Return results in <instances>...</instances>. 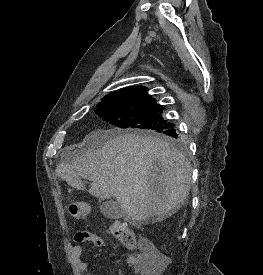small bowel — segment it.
Returning <instances> with one entry per match:
<instances>
[{
    "label": "small bowel",
    "mask_w": 263,
    "mask_h": 275,
    "mask_svg": "<svg viewBox=\"0 0 263 275\" xmlns=\"http://www.w3.org/2000/svg\"><path fill=\"white\" fill-rule=\"evenodd\" d=\"M75 245L72 247V258L77 268L85 275H94L90 272L88 263L82 260L83 248L81 243L90 242L95 247H103L105 245L104 239L97 234L89 231L79 230L74 236ZM127 263L134 268L135 273L142 275V264L134 255L127 258Z\"/></svg>",
    "instance_id": "c3829d8e"
}]
</instances>
